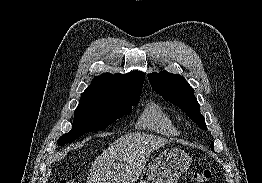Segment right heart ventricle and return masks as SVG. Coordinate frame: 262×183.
<instances>
[{"label":"right heart ventricle","instance_id":"right-heart-ventricle-1","mask_svg":"<svg viewBox=\"0 0 262 183\" xmlns=\"http://www.w3.org/2000/svg\"><path fill=\"white\" fill-rule=\"evenodd\" d=\"M138 127L164 136L180 134L174 119L157 103H150L144 108L138 119Z\"/></svg>","mask_w":262,"mask_h":183}]
</instances>
